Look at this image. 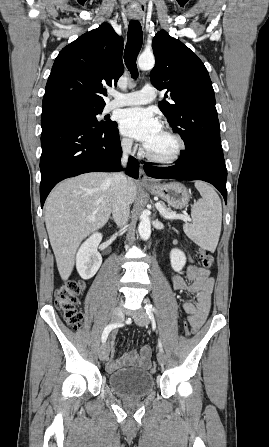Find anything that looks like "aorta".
<instances>
[{
  "label": "aorta",
  "instance_id": "aorta-1",
  "mask_svg": "<svg viewBox=\"0 0 269 447\" xmlns=\"http://www.w3.org/2000/svg\"><path fill=\"white\" fill-rule=\"evenodd\" d=\"M137 66H139L140 70H152L155 66V58L153 54H141ZM140 220L141 222L138 225L139 235L142 239H148L151 235V222L146 212H142Z\"/></svg>",
  "mask_w": 269,
  "mask_h": 447
}]
</instances>
